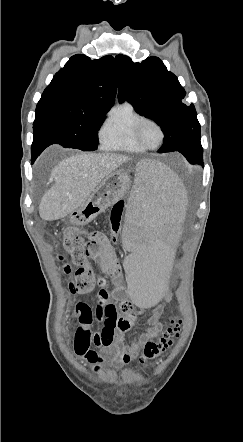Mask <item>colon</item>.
I'll use <instances>...</instances> for the list:
<instances>
[{
  "label": "colon",
  "mask_w": 243,
  "mask_h": 442,
  "mask_svg": "<svg viewBox=\"0 0 243 442\" xmlns=\"http://www.w3.org/2000/svg\"><path fill=\"white\" fill-rule=\"evenodd\" d=\"M124 208L125 202L119 200L114 204L111 211L109 228L114 239L121 228ZM62 248L71 257L73 264L76 266L75 270L68 264L64 266L65 274L71 276L70 289L77 294L92 292L98 286V277L88 261L87 254L90 245L85 240L83 229L77 225L68 226L63 234ZM180 326L181 321L175 320L159 339L147 342L144 346L142 357H137L136 359L137 366H146L147 360H152L166 353L171 348L174 339L179 336Z\"/></svg>",
  "instance_id": "obj_1"
}]
</instances>
